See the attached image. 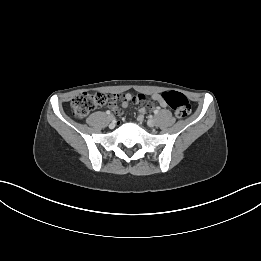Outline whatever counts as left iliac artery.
<instances>
[{"label": "left iliac artery", "mask_w": 261, "mask_h": 261, "mask_svg": "<svg viewBox=\"0 0 261 261\" xmlns=\"http://www.w3.org/2000/svg\"><path fill=\"white\" fill-rule=\"evenodd\" d=\"M158 112H159V108H156V109L154 110V114H158Z\"/></svg>", "instance_id": "left-iliac-artery-1"}]
</instances>
